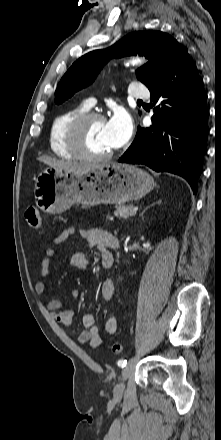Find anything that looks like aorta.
I'll list each match as a JSON object with an SVG mask.
<instances>
[{"mask_svg":"<svg viewBox=\"0 0 221 440\" xmlns=\"http://www.w3.org/2000/svg\"><path fill=\"white\" fill-rule=\"evenodd\" d=\"M142 63H143V60L140 58H134L130 61V64H132V65H140Z\"/></svg>","mask_w":221,"mask_h":440,"instance_id":"1","label":"aorta"}]
</instances>
